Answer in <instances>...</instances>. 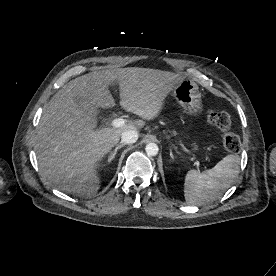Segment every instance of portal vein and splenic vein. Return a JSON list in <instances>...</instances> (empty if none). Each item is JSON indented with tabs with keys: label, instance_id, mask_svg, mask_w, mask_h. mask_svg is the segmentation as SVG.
<instances>
[{
	"label": "portal vein and splenic vein",
	"instance_id": "obj_1",
	"mask_svg": "<svg viewBox=\"0 0 276 276\" xmlns=\"http://www.w3.org/2000/svg\"><path fill=\"white\" fill-rule=\"evenodd\" d=\"M125 125V120L122 118H116L112 121V126L115 128H120Z\"/></svg>",
	"mask_w": 276,
	"mask_h": 276
}]
</instances>
